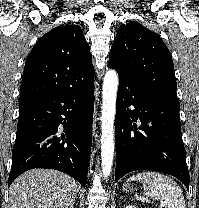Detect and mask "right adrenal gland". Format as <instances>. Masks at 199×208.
Instances as JSON below:
<instances>
[{
	"label": "right adrenal gland",
	"instance_id": "2a0ac1e0",
	"mask_svg": "<svg viewBox=\"0 0 199 208\" xmlns=\"http://www.w3.org/2000/svg\"><path fill=\"white\" fill-rule=\"evenodd\" d=\"M75 202H72L69 208H74Z\"/></svg>",
	"mask_w": 199,
	"mask_h": 208
}]
</instances>
